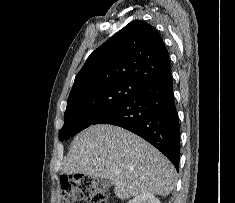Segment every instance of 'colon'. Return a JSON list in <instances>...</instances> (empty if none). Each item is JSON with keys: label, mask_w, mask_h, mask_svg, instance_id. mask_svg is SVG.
<instances>
[{"label": "colon", "mask_w": 235, "mask_h": 203, "mask_svg": "<svg viewBox=\"0 0 235 203\" xmlns=\"http://www.w3.org/2000/svg\"><path fill=\"white\" fill-rule=\"evenodd\" d=\"M60 186L63 203H75L79 199L90 203H108V189L92 176H62Z\"/></svg>", "instance_id": "colon-1"}]
</instances>
